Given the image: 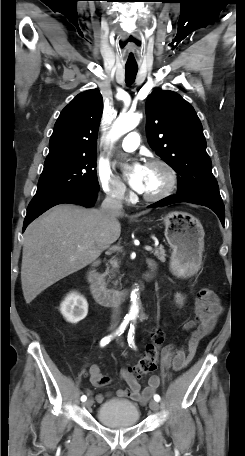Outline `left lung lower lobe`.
<instances>
[{
    "mask_svg": "<svg viewBox=\"0 0 245 456\" xmlns=\"http://www.w3.org/2000/svg\"><path fill=\"white\" fill-rule=\"evenodd\" d=\"M180 202H189V203L199 204V205H203V206L210 208L217 214L222 225L224 226L225 210H224L223 202L213 201V200H209V199H202V198H190V197H183V196H179V195H171L157 203L150 205L149 207H162V206H167L170 204L180 203Z\"/></svg>",
    "mask_w": 245,
    "mask_h": 456,
    "instance_id": "0a47b994",
    "label": "left lung lower lobe"
}]
</instances>
